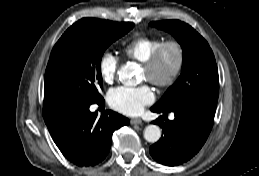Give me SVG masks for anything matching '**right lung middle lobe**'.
<instances>
[{"mask_svg":"<svg viewBox=\"0 0 259 176\" xmlns=\"http://www.w3.org/2000/svg\"><path fill=\"white\" fill-rule=\"evenodd\" d=\"M134 27L83 18L61 36L52 49L45 81L57 99L94 102L102 98L100 62L106 48Z\"/></svg>","mask_w":259,"mask_h":176,"instance_id":"dd1d6c3e","label":"right lung middle lobe"}]
</instances>
